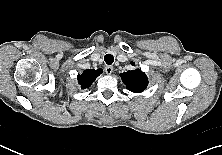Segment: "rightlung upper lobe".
I'll return each mask as SVG.
<instances>
[{"mask_svg": "<svg viewBox=\"0 0 222 155\" xmlns=\"http://www.w3.org/2000/svg\"><path fill=\"white\" fill-rule=\"evenodd\" d=\"M102 73V69H87L81 75L77 76L78 82L83 89L88 88L95 79Z\"/></svg>", "mask_w": 222, "mask_h": 155, "instance_id": "cb5924a9", "label": "right lung upper lobe"}]
</instances>
